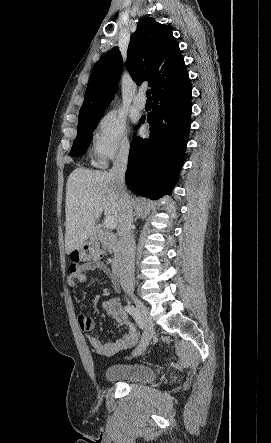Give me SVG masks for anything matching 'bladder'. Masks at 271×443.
Instances as JSON below:
<instances>
[{"label": "bladder", "mask_w": 271, "mask_h": 443, "mask_svg": "<svg viewBox=\"0 0 271 443\" xmlns=\"http://www.w3.org/2000/svg\"><path fill=\"white\" fill-rule=\"evenodd\" d=\"M104 378L108 382L148 383L156 379L153 368L145 364H115L106 368Z\"/></svg>", "instance_id": "1"}]
</instances>
